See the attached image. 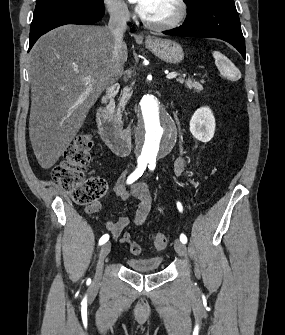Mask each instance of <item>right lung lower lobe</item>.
I'll list each match as a JSON object with an SVG mask.
<instances>
[{"instance_id":"1","label":"right lung lower lobe","mask_w":285,"mask_h":335,"mask_svg":"<svg viewBox=\"0 0 285 335\" xmlns=\"http://www.w3.org/2000/svg\"><path fill=\"white\" fill-rule=\"evenodd\" d=\"M104 15V8L57 4L33 14L29 36V50L46 32L66 24H94ZM28 50V51H29Z\"/></svg>"}]
</instances>
